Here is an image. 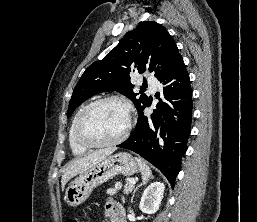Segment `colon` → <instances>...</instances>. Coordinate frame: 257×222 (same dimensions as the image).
<instances>
[{
    "mask_svg": "<svg viewBox=\"0 0 257 222\" xmlns=\"http://www.w3.org/2000/svg\"><path fill=\"white\" fill-rule=\"evenodd\" d=\"M67 222H88V221H86V220H84L82 218L76 217V218L69 219Z\"/></svg>",
    "mask_w": 257,
    "mask_h": 222,
    "instance_id": "5ec220e1",
    "label": "colon"
}]
</instances>
